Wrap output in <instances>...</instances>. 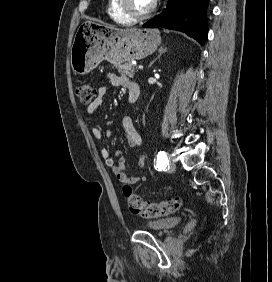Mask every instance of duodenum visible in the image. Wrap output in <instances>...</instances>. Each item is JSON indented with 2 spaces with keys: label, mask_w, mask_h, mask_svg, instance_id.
Instances as JSON below:
<instances>
[{
  "label": "duodenum",
  "mask_w": 272,
  "mask_h": 282,
  "mask_svg": "<svg viewBox=\"0 0 272 282\" xmlns=\"http://www.w3.org/2000/svg\"><path fill=\"white\" fill-rule=\"evenodd\" d=\"M128 90H129L128 103L133 104L137 101V99L140 95V88H139L138 84L131 81V82H129Z\"/></svg>",
  "instance_id": "410a0bca"
}]
</instances>
